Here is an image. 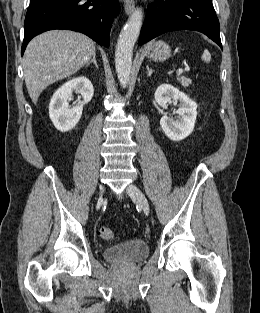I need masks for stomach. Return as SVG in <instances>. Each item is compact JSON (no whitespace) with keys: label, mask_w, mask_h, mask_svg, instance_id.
I'll use <instances>...</instances> for the list:
<instances>
[{"label":"stomach","mask_w":260,"mask_h":313,"mask_svg":"<svg viewBox=\"0 0 260 313\" xmlns=\"http://www.w3.org/2000/svg\"><path fill=\"white\" fill-rule=\"evenodd\" d=\"M146 54L153 61H165L171 56V49L164 41H155L147 46Z\"/></svg>","instance_id":"stomach-1"}]
</instances>
